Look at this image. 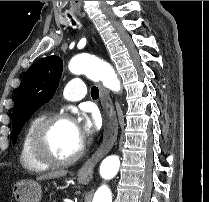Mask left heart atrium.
I'll return each mask as SVG.
<instances>
[{"label":"left heart atrium","instance_id":"obj_1","mask_svg":"<svg viewBox=\"0 0 209 202\" xmlns=\"http://www.w3.org/2000/svg\"><path fill=\"white\" fill-rule=\"evenodd\" d=\"M75 132L82 143L85 138L91 135L94 131L93 122L84 115H79L77 121L74 123Z\"/></svg>","mask_w":209,"mask_h":202}]
</instances>
